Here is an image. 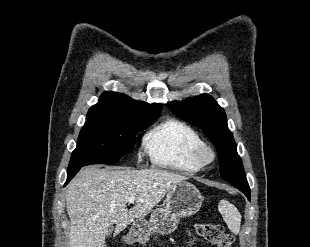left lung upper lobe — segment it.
<instances>
[{"mask_svg": "<svg viewBox=\"0 0 310 247\" xmlns=\"http://www.w3.org/2000/svg\"><path fill=\"white\" fill-rule=\"evenodd\" d=\"M168 107L179 118L200 128L215 145L223 179L229 182L246 179L225 111L212 97L201 94L185 101L170 102Z\"/></svg>", "mask_w": 310, "mask_h": 247, "instance_id": "5c2ea615", "label": "left lung upper lobe"}]
</instances>
